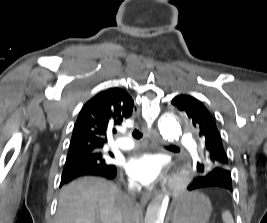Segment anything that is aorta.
Instances as JSON below:
<instances>
[{
    "instance_id": "762f6f07",
    "label": "aorta",
    "mask_w": 267,
    "mask_h": 223,
    "mask_svg": "<svg viewBox=\"0 0 267 223\" xmlns=\"http://www.w3.org/2000/svg\"><path fill=\"white\" fill-rule=\"evenodd\" d=\"M160 134L168 140H177L182 135L180 120L176 115L168 114L158 123ZM169 204V196L158 195L149 204L145 223H163Z\"/></svg>"
}]
</instances>
